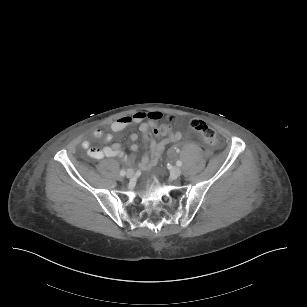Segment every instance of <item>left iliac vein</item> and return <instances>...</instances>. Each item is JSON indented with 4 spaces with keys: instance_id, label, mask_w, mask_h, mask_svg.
I'll return each mask as SVG.
<instances>
[{
    "instance_id": "obj_1",
    "label": "left iliac vein",
    "mask_w": 307,
    "mask_h": 307,
    "mask_svg": "<svg viewBox=\"0 0 307 307\" xmlns=\"http://www.w3.org/2000/svg\"><path fill=\"white\" fill-rule=\"evenodd\" d=\"M170 173L174 179H177L181 175V169L179 167H173Z\"/></svg>"
}]
</instances>
